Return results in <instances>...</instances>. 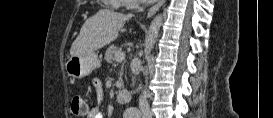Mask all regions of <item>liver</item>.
I'll list each match as a JSON object with an SVG mask.
<instances>
[{"label": "liver", "instance_id": "1", "mask_svg": "<svg viewBox=\"0 0 273 118\" xmlns=\"http://www.w3.org/2000/svg\"><path fill=\"white\" fill-rule=\"evenodd\" d=\"M129 19V15L108 9L99 10L82 25L79 35L72 43L70 55L92 53L110 44L117 38L119 30Z\"/></svg>", "mask_w": 273, "mask_h": 118}]
</instances>
